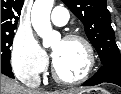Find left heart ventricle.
I'll return each mask as SVG.
<instances>
[{
    "label": "left heart ventricle",
    "instance_id": "b2bd125f",
    "mask_svg": "<svg viewBox=\"0 0 121 94\" xmlns=\"http://www.w3.org/2000/svg\"><path fill=\"white\" fill-rule=\"evenodd\" d=\"M52 48L56 53V67L62 77L71 79L83 74L87 64V53L82 43L57 40Z\"/></svg>",
    "mask_w": 121,
    "mask_h": 94
}]
</instances>
